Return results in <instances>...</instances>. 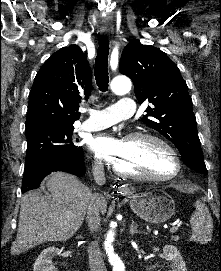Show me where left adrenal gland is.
<instances>
[{"label": "left adrenal gland", "mask_w": 221, "mask_h": 271, "mask_svg": "<svg viewBox=\"0 0 221 271\" xmlns=\"http://www.w3.org/2000/svg\"><path fill=\"white\" fill-rule=\"evenodd\" d=\"M138 225L131 219L130 227H129V233L130 235H134V233H141L140 229H137Z\"/></svg>", "instance_id": "1"}]
</instances>
